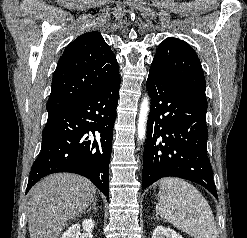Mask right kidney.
I'll return each instance as SVG.
<instances>
[{
  "label": "right kidney",
  "mask_w": 247,
  "mask_h": 238,
  "mask_svg": "<svg viewBox=\"0 0 247 238\" xmlns=\"http://www.w3.org/2000/svg\"><path fill=\"white\" fill-rule=\"evenodd\" d=\"M95 226V221L93 219H85L82 222V228L86 232H91ZM80 224H74L69 227L66 232L63 233L61 238H79L80 235Z\"/></svg>",
  "instance_id": "obj_1"
}]
</instances>
